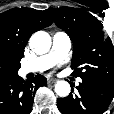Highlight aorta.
<instances>
[{"label":"aorta","mask_w":114,"mask_h":114,"mask_svg":"<svg viewBox=\"0 0 114 114\" xmlns=\"http://www.w3.org/2000/svg\"><path fill=\"white\" fill-rule=\"evenodd\" d=\"M30 48L37 54L47 53L51 47V37L47 32L38 31L29 40ZM55 92L60 97H66L70 93V84L67 81H58L55 85Z\"/></svg>","instance_id":"1"}]
</instances>
